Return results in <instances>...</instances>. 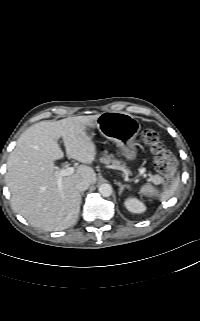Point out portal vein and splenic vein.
<instances>
[{
	"label": "portal vein and splenic vein",
	"instance_id": "obj_1",
	"mask_svg": "<svg viewBox=\"0 0 200 321\" xmlns=\"http://www.w3.org/2000/svg\"><path fill=\"white\" fill-rule=\"evenodd\" d=\"M75 168L74 167H63L61 168L59 171H56V174L58 175V186L61 187L62 186V178L65 176H70L74 173ZM145 171V168H142L140 170L141 173H143ZM127 181H129V178H126Z\"/></svg>",
	"mask_w": 200,
	"mask_h": 321
}]
</instances>
